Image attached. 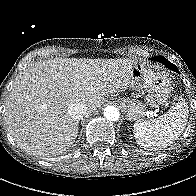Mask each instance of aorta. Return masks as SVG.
<instances>
[{"label":"aorta","instance_id":"762f6f07","mask_svg":"<svg viewBox=\"0 0 196 196\" xmlns=\"http://www.w3.org/2000/svg\"><path fill=\"white\" fill-rule=\"evenodd\" d=\"M104 116L110 121H117L119 119V110L114 106H107L104 109Z\"/></svg>","mask_w":196,"mask_h":196}]
</instances>
